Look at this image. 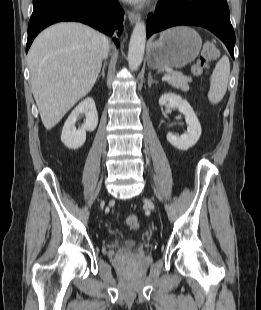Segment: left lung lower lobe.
Here are the masks:
<instances>
[{"label": "left lung lower lobe", "mask_w": 261, "mask_h": 310, "mask_svg": "<svg viewBox=\"0 0 261 310\" xmlns=\"http://www.w3.org/2000/svg\"><path fill=\"white\" fill-rule=\"evenodd\" d=\"M177 25L204 27L218 36L234 59L235 33L226 0H160L147 21V38Z\"/></svg>", "instance_id": "left-lung-lower-lobe-1"}]
</instances>
